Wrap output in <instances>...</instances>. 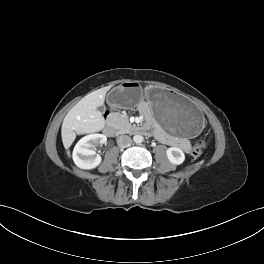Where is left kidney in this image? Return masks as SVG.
<instances>
[{"instance_id":"1","label":"left kidney","mask_w":264,"mask_h":264,"mask_svg":"<svg viewBox=\"0 0 264 264\" xmlns=\"http://www.w3.org/2000/svg\"><path fill=\"white\" fill-rule=\"evenodd\" d=\"M169 161L174 165H180L185 160V154L178 147H170L166 151Z\"/></svg>"}]
</instances>
